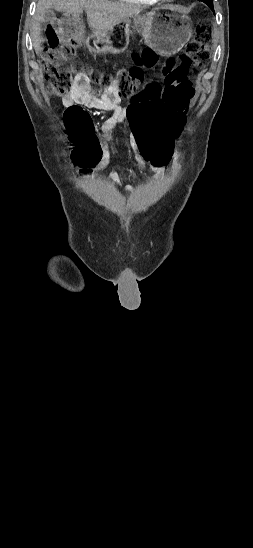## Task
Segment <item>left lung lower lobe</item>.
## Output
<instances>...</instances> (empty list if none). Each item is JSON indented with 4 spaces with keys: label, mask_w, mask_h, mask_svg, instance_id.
Here are the masks:
<instances>
[{
    "label": "left lung lower lobe",
    "mask_w": 253,
    "mask_h": 548,
    "mask_svg": "<svg viewBox=\"0 0 253 548\" xmlns=\"http://www.w3.org/2000/svg\"><path fill=\"white\" fill-rule=\"evenodd\" d=\"M200 1V0H199ZM203 1L204 3H206L212 10L213 9V1L212 0H201Z\"/></svg>",
    "instance_id": "obj_1"
}]
</instances>
